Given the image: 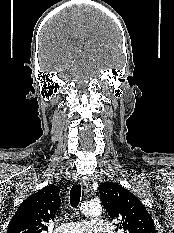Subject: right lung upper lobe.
<instances>
[{"instance_id":"1","label":"right lung upper lobe","mask_w":174,"mask_h":233,"mask_svg":"<svg viewBox=\"0 0 174 233\" xmlns=\"http://www.w3.org/2000/svg\"><path fill=\"white\" fill-rule=\"evenodd\" d=\"M59 188L53 184L29 196L11 219L7 233H42L59 210Z\"/></svg>"}]
</instances>
